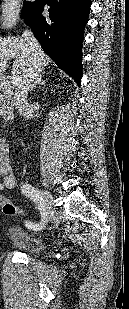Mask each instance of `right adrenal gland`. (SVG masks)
Returning a JSON list of instances; mask_svg holds the SVG:
<instances>
[{
    "label": "right adrenal gland",
    "instance_id": "right-adrenal-gland-1",
    "mask_svg": "<svg viewBox=\"0 0 129 309\" xmlns=\"http://www.w3.org/2000/svg\"><path fill=\"white\" fill-rule=\"evenodd\" d=\"M45 72L41 71L39 77L35 80V82L32 84L31 91H33L38 85H45V80L43 79V75Z\"/></svg>",
    "mask_w": 129,
    "mask_h": 309
}]
</instances>
